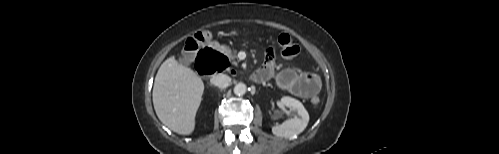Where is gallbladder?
I'll return each mask as SVG.
<instances>
[{
  "label": "gallbladder",
  "mask_w": 499,
  "mask_h": 154,
  "mask_svg": "<svg viewBox=\"0 0 499 154\" xmlns=\"http://www.w3.org/2000/svg\"><path fill=\"white\" fill-rule=\"evenodd\" d=\"M179 62L184 65H189L191 63V60L186 57H180Z\"/></svg>",
  "instance_id": "gallbladder-1"
}]
</instances>
